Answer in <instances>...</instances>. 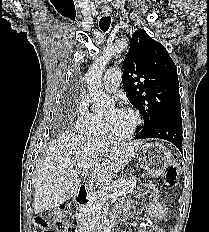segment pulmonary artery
Wrapping results in <instances>:
<instances>
[{
  "mask_svg": "<svg viewBox=\"0 0 209 232\" xmlns=\"http://www.w3.org/2000/svg\"><path fill=\"white\" fill-rule=\"evenodd\" d=\"M122 72L118 67L108 69L103 77V87L107 92H114L121 82Z\"/></svg>",
  "mask_w": 209,
  "mask_h": 232,
  "instance_id": "pulmonary-artery-1",
  "label": "pulmonary artery"
}]
</instances>
